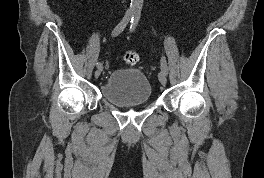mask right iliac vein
Wrapping results in <instances>:
<instances>
[{
	"label": "right iliac vein",
	"mask_w": 264,
	"mask_h": 178,
	"mask_svg": "<svg viewBox=\"0 0 264 178\" xmlns=\"http://www.w3.org/2000/svg\"><path fill=\"white\" fill-rule=\"evenodd\" d=\"M102 72V67L101 68H98L96 71H95V77L98 78L100 76Z\"/></svg>",
	"instance_id": "63e3f726"
}]
</instances>
